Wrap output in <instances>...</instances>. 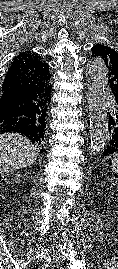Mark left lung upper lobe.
<instances>
[{"instance_id": "obj_1", "label": "left lung upper lobe", "mask_w": 118, "mask_h": 269, "mask_svg": "<svg viewBox=\"0 0 118 269\" xmlns=\"http://www.w3.org/2000/svg\"><path fill=\"white\" fill-rule=\"evenodd\" d=\"M92 57H100L107 67V76L110 89L115 98H118V53L102 44L92 47Z\"/></svg>"}]
</instances>
